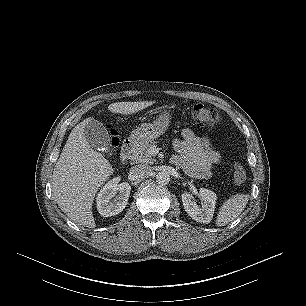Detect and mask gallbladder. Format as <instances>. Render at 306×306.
I'll list each match as a JSON object with an SVG mask.
<instances>
[{"mask_svg":"<svg viewBox=\"0 0 306 306\" xmlns=\"http://www.w3.org/2000/svg\"><path fill=\"white\" fill-rule=\"evenodd\" d=\"M84 136L93 149L106 150L110 147L107 128L98 120H91L84 128Z\"/></svg>","mask_w":306,"mask_h":306,"instance_id":"gallbladder-1","label":"gallbladder"}]
</instances>
